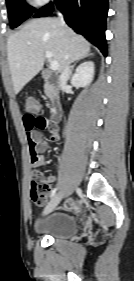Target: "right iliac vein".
Wrapping results in <instances>:
<instances>
[{
    "label": "right iliac vein",
    "instance_id": "right-iliac-vein-1",
    "mask_svg": "<svg viewBox=\"0 0 134 281\" xmlns=\"http://www.w3.org/2000/svg\"><path fill=\"white\" fill-rule=\"evenodd\" d=\"M63 194V191H60L51 199L44 210V215L51 213L57 207L63 197Z\"/></svg>",
    "mask_w": 134,
    "mask_h": 281
}]
</instances>
